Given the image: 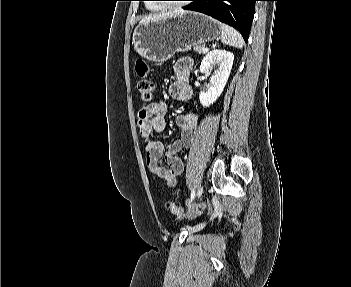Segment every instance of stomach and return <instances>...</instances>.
<instances>
[{"mask_svg":"<svg viewBox=\"0 0 351 287\" xmlns=\"http://www.w3.org/2000/svg\"><path fill=\"white\" fill-rule=\"evenodd\" d=\"M221 33V24L198 12L139 23L133 33L135 51L142 57L162 63L193 44L212 41Z\"/></svg>","mask_w":351,"mask_h":287,"instance_id":"1","label":"stomach"}]
</instances>
